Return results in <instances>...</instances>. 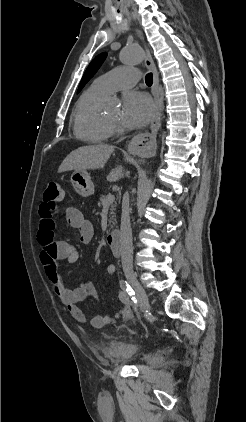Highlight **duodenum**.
I'll return each instance as SVG.
<instances>
[{
  "mask_svg": "<svg viewBox=\"0 0 246 422\" xmlns=\"http://www.w3.org/2000/svg\"><path fill=\"white\" fill-rule=\"evenodd\" d=\"M107 244L115 256L121 255L120 233L118 231L114 230L108 234Z\"/></svg>",
  "mask_w": 246,
  "mask_h": 422,
  "instance_id": "obj_1",
  "label": "duodenum"
}]
</instances>
